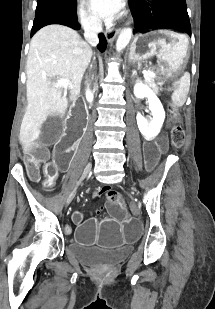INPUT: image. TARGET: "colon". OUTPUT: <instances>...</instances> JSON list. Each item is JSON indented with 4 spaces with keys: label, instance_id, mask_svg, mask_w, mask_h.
<instances>
[{
    "label": "colon",
    "instance_id": "1",
    "mask_svg": "<svg viewBox=\"0 0 215 309\" xmlns=\"http://www.w3.org/2000/svg\"><path fill=\"white\" fill-rule=\"evenodd\" d=\"M171 112L173 116V122H172V130H171V140L173 145L176 148H181L184 144L185 140V135H184V130H183V125L182 123L177 119V109L175 106H171ZM37 162L29 160L27 163V169L31 174H35L37 171ZM57 165L53 163H49L46 168H45V173H46V178L43 181V186L45 188H51L55 180L57 178ZM108 198L112 202H117L118 201V195L115 192H108L107 193Z\"/></svg>",
    "mask_w": 215,
    "mask_h": 309
}]
</instances>
